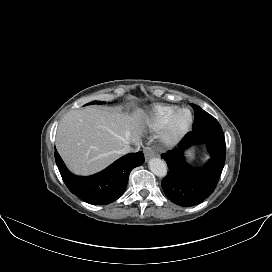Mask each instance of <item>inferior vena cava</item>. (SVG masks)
Wrapping results in <instances>:
<instances>
[{
	"instance_id": "1",
	"label": "inferior vena cava",
	"mask_w": 272,
	"mask_h": 272,
	"mask_svg": "<svg viewBox=\"0 0 272 272\" xmlns=\"http://www.w3.org/2000/svg\"><path fill=\"white\" fill-rule=\"evenodd\" d=\"M139 149H140L139 143H137L136 149L131 148L129 145H125L122 149L119 150V154L124 155V154L130 153V152H136Z\"/></svg>"
}]
</instances>
